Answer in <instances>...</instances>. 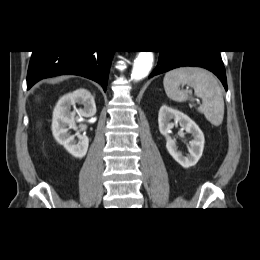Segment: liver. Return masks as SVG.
<instances>
[{
  "instance_id": "obj_1",
  "label": "liver",
  "mask_w": 260,
  "mask_h": 260,
  "mask_svg": "<svg viewBox=\"0 0 260 260\" xmlns=\"http://www.w3.org/2000/svg\"><path fill=\"white\" fill-rule=\"evenodd\" d=\"M66 78H68V77H61V78H59V79H57L58 81H61V80H64V79H66Z\"/></svg>"
}]
</instances>
